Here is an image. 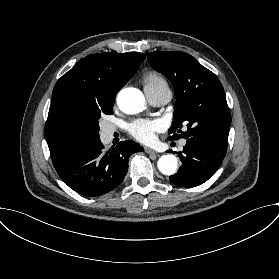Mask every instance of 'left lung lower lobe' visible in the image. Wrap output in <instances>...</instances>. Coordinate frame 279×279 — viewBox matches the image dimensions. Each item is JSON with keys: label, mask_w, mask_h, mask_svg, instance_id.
I'll return each mask as SVG.
<instances>
[{"label": "left lung lower lobe", "mask_w": 279, "mask_h": 279, "mask_svg": "<svg viewBox=\"0 0 279 279\" xmlns=\"http://www.w3.org/2000/svg\"><path fill=\"white\" fill-rule=\"evenodd\" d=\"M227 152V143L208 138L188 139L179 153L182 166L170 176L174 185L198 186L207 181L220 167Z\"/></svg>", "instance_id": "0a47b994"}]
</instances>
